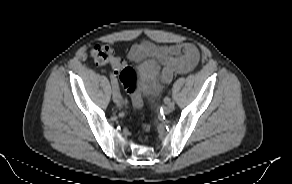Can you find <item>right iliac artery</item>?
<instances>
[{
  "label": "right iliac artery",
  "mask_w": 292,
  "mask_h": 184,
  "mask_svg": "<svg viewBox=\"0 0 292 184\" xmlns=\"http://www.w3.org/2000/svg\"><path fill=\"white\" fill-rule=\"evenodd\" d=\"M110 78H111V83H112V86H113V90H116L117 91V95H120L121 91H118L117 79L112 74L110 75Z\"/></svg>",
  "instance_id": "obj_1"
}]
</instances>
